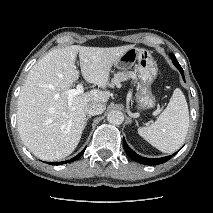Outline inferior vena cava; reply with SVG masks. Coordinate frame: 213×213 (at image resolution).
Here are the masks:
<instances>
[{"mask_svg": "<svg viewBox=\"0 0 213 213\" xmlns=\"http://www.w3.org/2000/svg\"><path fill=\"white\" fill-rule=\"evenodd\" d=\"M105 108L102 103L92 102L86 105L85 113L89 116L99 115L104 112Z\"/></svg>", "mask_w": 213, "mask_h": 213, "instance_id": "inferior-vena-cava-1", "label": "inferior vena cava"}]
</instances>
